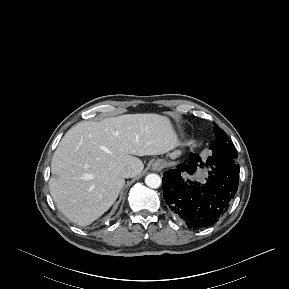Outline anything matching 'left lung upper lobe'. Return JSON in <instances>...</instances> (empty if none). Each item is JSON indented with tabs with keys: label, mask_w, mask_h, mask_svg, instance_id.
Wrapping results in <instances>:
<instances>
[{
	"label": "left lung upper lobe",
	"mask_w": 289,
	"mask_h": 289,
	"mask_svg": "<svg viewBox=\"0 0 289 289\" xmlns=\"http://www.w3.org/2000/svg\"><path fill=\"white\" fill-rule=\"evenodd\" d=\"M213 130L216 138L210 146V149L212 150V155L210 157L215 158L219 161L236 159L237 152L235 146L229 140L226 133L216 124Z\"/></svg>",
	"instance_id": "1"
}]
</instances>
